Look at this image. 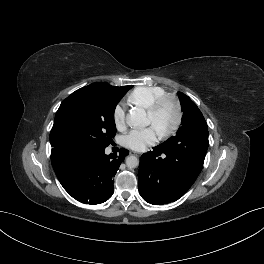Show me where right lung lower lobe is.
<instances>
[{"label": "right lung lower lobe", "mask_w": 264, "mask_h": 264, "mask_svg": "<svg viewBox=\"0 0 264 264\" xmlns=\"http://www.w3.org/2000/svg\"><path fill=\"white\" fill-rule=\"evenodd\" d=\"M104 150L78 146L51 151L53 169L61 185L82 203L100 204L113 194V177L129 151L121 148L119 155H106Z\"/></svg>", "instance_id": "right-lung-lower-lobe-1"}]
</instances>
